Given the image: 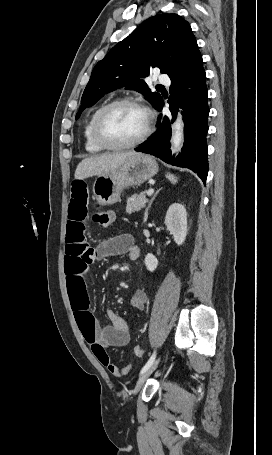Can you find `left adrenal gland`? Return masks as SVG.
I'll return each mask as SVG.
<instances>
[{"mask_svg": "<svg viewBox=\"0 0 272 455\" xmlns=\"http://www.w3.org/2000/svg\"><path fill=\"white\" fill-rule=\"evenodd\" d=\"M159 191H160V190H158V191L155 193V195L152 197V199L150 200L149 206L147 207V209H146V211H145L144 221L147 220V218H148V210H149V208H150L152 202H153L154 199L156 198L157 194L159 193Z\"/></svg>", "mask_w": 272, "mask_h": 455, "instance_id": "left-adrenal-gland-1", "label": "left adrenal gland"}]
</instances>
